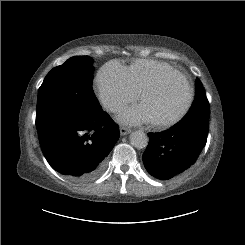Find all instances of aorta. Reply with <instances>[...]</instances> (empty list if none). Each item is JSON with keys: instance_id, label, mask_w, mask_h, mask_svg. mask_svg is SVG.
Returning a JSON list of instances; mask_svg holds the SVG:
<instances>
[{"instance_id": "aorta-1", "label": "aorta", "mask_w": 245, "mask_h": 245, "mask_svg": "<svg viewBox=\"0 0 245 245\" xmlns=\"http://www.w3.org/2000/svg\"><path fill=\"white\" fill-rule=\"evenodd\" d=\"M130 142L136 148H144L148 144V137L143 131L137 130L131 133Z\"/></svg>"}]
</instances>
